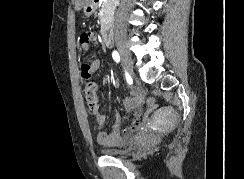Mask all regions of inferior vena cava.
<instances>
[{
  "instance_id": "obj_1",
  "label": "inferior vena cava",
  "mask_w": 244,
  "mask_h": 179,
  "mask_svg": "<svg viewBox=\"0 0 244 179\" xmlns=\"http://www.w3.org/2000/svg\"><path fill=\"white\" fill-rule=\"evenodd\" d=\"M122 30H123V28H122L121 24H119V22H116V24H115V34H118V32L120 34V32H122Z\"/></svg>"
}]
</instances>
